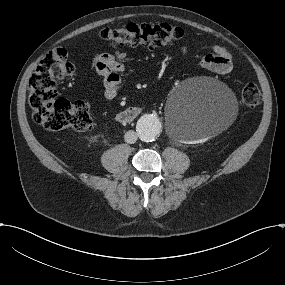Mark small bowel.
<instances>
[{"instance_id": "obj_1", "label": "small bowel", "mask_w": 285, "mask_h": 285, "mask_svg": "<svg viewBox=\"0 0 285 285\" xmlns=\"http://www.w3.org/2000/svg\"><path fill=\"white\" fill-rule=\"evenodd\" d=\"M180 54L183 58L188 57L187 49L182 48ZM124 58L125 54L120 51L115 53H98L93 57L91 69L95 75L101 78L106 98L112 99L118 93L121 74L125 71V66L122 62ZM201 65L218 74H227L233 69L231 54L222 45H215L213 52L201 59Z\"/></svg>"}]
</instances>
